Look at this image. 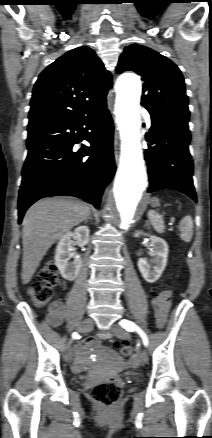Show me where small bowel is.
Masks as SVG:
<instances>
[{
	"instance_id": "1",
	"label": "small bowel",
	"mask_w": 212,
	"mask_h": 438,
	"mask_svg": "<svg viewBox=\"0 0 212 438\" xmlns=\"http://www.w3.org/2000/svg\"><path fill=\"white\" fill-rule=\"evenodd\" d=\"M172 293L163 291L158 297L152 299V306L156 317L158 327H163L171 307ZM65 306L60 301L53 302L47 314V321L52 327H58L64 320ZM91 344L84 343L78 348L77 362L74 366V372L79 373L86 367V354Z\"/></svg>"
}]
</instances>
